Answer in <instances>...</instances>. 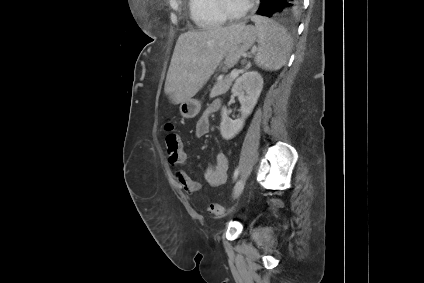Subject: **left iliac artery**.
Wrapping results in <instances>:
<instances>
[{
	"mask_svg": "<svg viewBox=\"0 0 424 283\" xmlns=\"http://www.w3.org/2000/svg\"><path fill=\"white\" fill-rule=\"evenodd\" d=\"M238 175H239V167H237V168L235 169L233 179H234V180H236V179H237V177H238Z\"/></svg>",
	"mask_w": 424,
	"mask_h": 283,
	"instance_id": "left-iliac-artery-1",
	"label": "left iliac artery"
}]
</instances>
